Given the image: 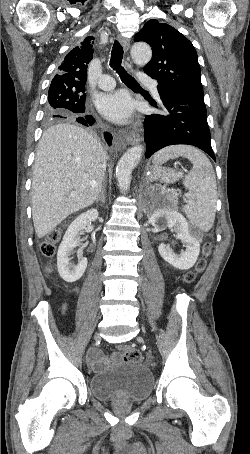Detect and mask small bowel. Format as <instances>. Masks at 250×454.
Listing matches in <instances>:
<instances>
[{"label":"small bowel","instance_id":"c3829d8e","mask_svg":"<svg viewBox=\"0 0 250 454\" xmlns=\"http://www.w3.org/2000/svg\"><path fill=\"white\" fill-rule=\"evenodd\" d=\"M66 310H67V305L65 304L62 308V312L65 313ZM87 360H88L89 367L92 370H100L107 364V361L105 360L102 352L98 349L90 350L88 353V356H87Z\"/></svg>","mask_w":250,"mask_h":454}]
</instances>
